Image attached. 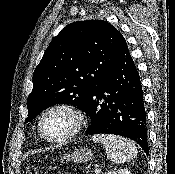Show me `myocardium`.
<instances>
[{"instance_id": "obj_1", "label": "myocardium", "mask_w": 175, "mask_h": 174, "mask_svg": "<svg viewBox=\"0 0 175 174\" xmlns=\"http://www.w3.org/2000/svg\"><path fill=\"white\" fill-rule=\"evenodd\" d=\"M58 110L66 111L69 114H71L72 117L74 118V126L65 135H63L61 137H57V138H52V137L47 136L44 133L43 122H44V119L46 118L47 115H49L50 113H52L54 111H58ZM84 125H85V115H84L83 111L74 104L62 102V103H57V104L50 106L49 108H47L43 112V114L40 117L39 123H38V131H39V134L41 135V137L48 142L62 143V142H65V141L70 140L71 138L75 137L83 129Z\"/></svg>"}]
</instances>
